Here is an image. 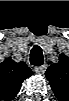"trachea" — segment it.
Here are the masks:
<instances>
[{
	"mask_svg": "<svg viewBox=\"0 0 69 101\" xmlns=\"http://www.w3.org/2000/svg\"><path fill=\"white\" fill-rule=\"evenodd\" d=\"M44 63L43 52L40 46L35 45L30 52V64L41 66Z\"/></svg>",
	"mask_w": 69,
	"mask_h": 101,
	"instance_id": "3493384b",
	"label": "trachea"
}]
</instances>
